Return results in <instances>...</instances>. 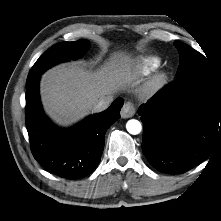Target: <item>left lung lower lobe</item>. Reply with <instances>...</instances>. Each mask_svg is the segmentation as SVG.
<instances>
[{"label":"left lung lower lobe","instance_id":"0a47b994","mask_svg":"<svg viewBox=\"0 0 221 221\" xmlns=\"http://www.w3.org/2000/svg\"><path fill=\"white\" fill-rule=\"evenodd\" d=\"M138 113L143 153L160 172L189 171L221 141V90L202 79L174 80Z\"/></svg>","mask_w":221,"mask_h":221}]
</instances>
